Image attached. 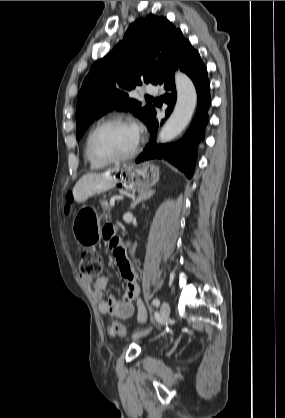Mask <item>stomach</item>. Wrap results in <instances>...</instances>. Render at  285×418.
<instances>
[{
	"label": "stomach",
	"mask_w": 285,
	"mask_h": 418,
	"mask_svg": "<svg viewBox=\"0 0 285 418\" xmlns=\"http://www.w3.org/2000/svg\"><path fill=\"white\" fill-rule=\"evenodd\" d=\"M159 168L151 163L141 165H128L116 172L117 178L125 189L133 192H145L159 180ZM72 231L76 240L81 244H86V240L93 236L95 239L100 237L99 224L86 222V216L81 211L74 218Z\"/></svg>",
	"instance_id": "stomach-1"
}]
</instances>
